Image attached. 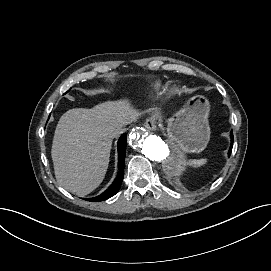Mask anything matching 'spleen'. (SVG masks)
Masks as SVG:
<instances>
[{"mask_svg": "<svg viewBox=\"0 0 271 271\" xmlns=\"http://www.w3.org/2000/svg\"><path fill=\"white\" fill-rule=\"evenodd\" d=\"M204 162L203 159H200V160H193L191 161V163L195 164V165H199V164H202Z\"/></svg>", "mask_w": 271, "mask_h": 271, "instance_id": "3e777b00", "label": "spleen"}]
</instances>
